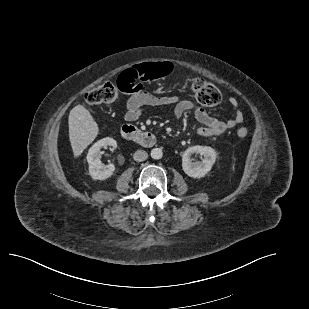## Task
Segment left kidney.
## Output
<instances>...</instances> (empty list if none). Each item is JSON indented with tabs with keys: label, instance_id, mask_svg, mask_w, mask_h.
Returning <instances> with one entry per match:
<instances>
[{
	"label": "left kidney",
	"instance_id": "5707ae66",
	"mask_svg": "<svg viewBox=\"0 0 309 309\" xmlns=\"http://www.w3.org/2000/svg\"><path fill=\"white\" fill-rule=\"evenodd\" d=\"M200 154L203 156L200 162H192L190 156L192 154ZM216 160V152L208 146H192L186 149L182 154L183 171L192 178H202L212 169Z\"/></svg>",
	"mask_w": 309,
	"mask_h": 309
}]
</instances>
